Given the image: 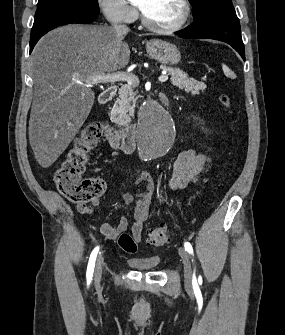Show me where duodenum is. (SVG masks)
<instances>
[{
  "instance_id": "duodenum-1",
  "label": "duodenum",
  "mask_w": 285,
  "mask_h": 335,
  "mask_svg": "<svg viewBox=\"0 0 285 335\" xmlns=\"http://www.w3.org/2000/svg\"><path fill=\"white\" fill-rule=\"evenodd\" d=\"M117 92L116 86H111L100 95V103H109ZM105 138L116 150L129 154L134 151L136 146V126L129 125L125 128H117L109 122L102 124Z\"/></svg>"
}]
</instances>
